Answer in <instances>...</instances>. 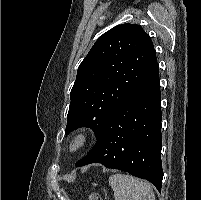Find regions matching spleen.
I'll use <instances>...</instances> for the list:
<instances>
[{"label":"spleen","instance_id":"spleen-1","mask_svg":"<svg viewBox=\"0 0 201 200\" xmlns=\"http://www.w3.org/2000/svg\"><path fill=\"white\" fill-rule=\"evenodd\" d=\"M115 200H155L149 183L121 173L109 177Z\"/></svg>","mask_w":201,"mask_h":200}]
</instances>
